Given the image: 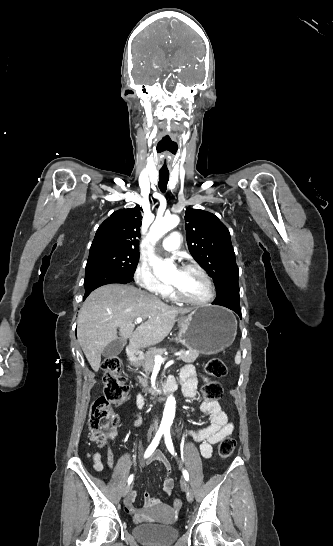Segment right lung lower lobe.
<instances>
[{"label": "right lung lower lobe", "mask_w": 333, "mask_h": 546, "mask_svg": "<svg viewBox=\"0 0 333 546\" xmlns=\"http://www.w3.org/2000/svg\"><path fill=\"white\" fill-rule=\"evenodd\" d=\"M133 281V277L128 276L117 271H112L104 268H91L85 272V294L84 299L96 288L111 284V283H122L126 284Z\"/></svg>", "instance_id": "obj_1"}]
</instances>
